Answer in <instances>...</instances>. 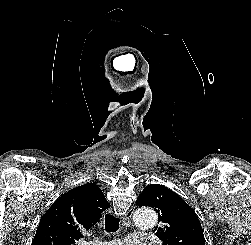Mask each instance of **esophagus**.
I'll return each mask as SVG.
<instances>
[{
	"instance_id": "34e87169",
	"label": "esophagus",
	"mask_w": 251,
	"mask_h": 245,
	"mask_svg": "<svg viewBox=\"0 0 251 245\" xmlns=\"http://www.w3.org/2000/svg\"><path fill=\"white\" fill-rule=\"evenodd\" d=\"M134 207H130V209L127 211V213L123 216L122 221L123 223L129 222L133 216L134 213Z\"/></svg>"
}]
</instances>
